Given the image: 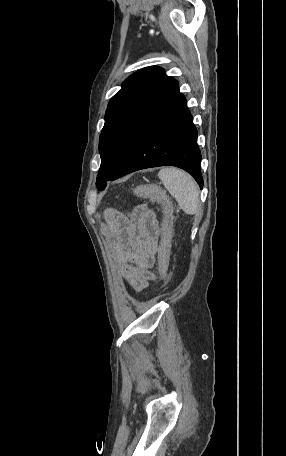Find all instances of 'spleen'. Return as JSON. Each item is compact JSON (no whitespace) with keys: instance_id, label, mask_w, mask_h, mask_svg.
<instances>
[{"instance_id":"obj_1","label":"spleen","mask_w":286,"mask_h":456,"mask_svg":"<svg viewBox=\"0 0 286 456\" xmlns=\"http://www.w3.org/2000/svg\"><path fill=\"white\" fill-rule=\"evenodd\" d=\"M158 177L186 214L197 213L200 205L199 188L191 175L180 169L168 167L161 169Z\"/></svg>"}]
</instances>
